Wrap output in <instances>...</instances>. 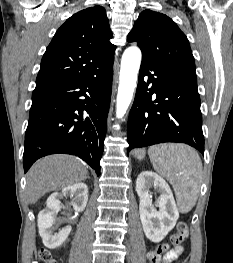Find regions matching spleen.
Instances as JSON below:
<instances>
[{
    "instance_id": "obj_1",
    "label": "spleen",
    "mask_w": 233,
    "mask_h": 263,
    "mask_svg": "<svg viewBox=\"0 0 233 263\" xmlns=\"http://www.w3.org/2000/svg\"><path fill=\"white\" fill-rule=\"evenodd\" d=\"M154 170L172 185L180 212L195 206L202 180V162L193 148L185 144H160L148 150Z\"/></svg>"
}]
</instances>
